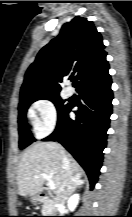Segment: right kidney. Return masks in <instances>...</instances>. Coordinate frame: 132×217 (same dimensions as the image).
Returning <instances> with one entry per match:
<instances>
[{"label": "right kidney", "instance_id": "right-kidney-1", "mask_svg": "<svg viewBox=\"0 0 132 217\" xmlns=\"http://www.w3.org/2000/svg\"><path fill=\"white\" fill-rule=\"evenodd\" d=\"M78 202H79V194L72 195L67 201L68 209L70 211H74L78 205Z\"/></svg>", "mask_w": 132, "mask_h": 217}]
</instances>
